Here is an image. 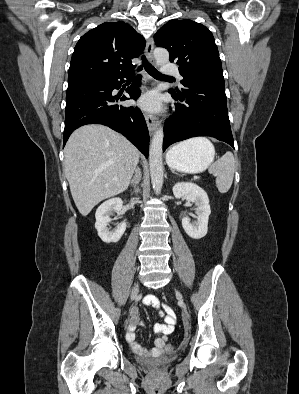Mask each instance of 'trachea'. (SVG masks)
I'll list each match as a JSON object with an SVG mask.
<instances>
[{"mask_svg": "<svg viewBox=\"0 0 299 394\" xmlns=\"http://www.w3.org/2000/svg\"><path fill=\"white\" fill-rule=\"evenodd\" d=\"M142 63L144 64L145 70L154 78L157 79H174L173 77L165 76L161 73H159L145 58V56L142 57ZM143 64L138 68V70H141L143 68Z\"/></svg>", "mask_w": 299, "mask_h": 394, "instance_id": "1", "label": "trachea"}]
</instances>
